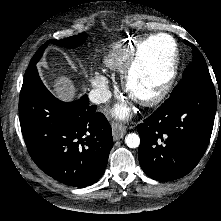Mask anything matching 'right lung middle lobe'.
<instances>
[{"label":"right lung middle lobe","instance_id":"1","mask_svg":"<svg viewBox=\"0 0 221 221\" xmlns=\"http://www.w3.org/2000/svg\"><path fill=\"white\" fill-rule=\"evenodd\" d=\"M87 38V35L85 33H81L78 36H72L66 39H62V40H48L45 44H43L38 51L35 53V55L33 56V58L30 61V64L26 70L25 73V78L27 76H29L33 71L36 70V63L39 61V59L42 56V53L44 51V49L47 47L48 44H56L59 46H64V47H77L80 44L84 43L85 40Z\"/></svg>","mask_w":221,"mask_h":221}]
</instances>
